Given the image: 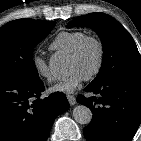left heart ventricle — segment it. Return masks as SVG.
<instances>
[{
    "instance_id": "b2bd125f",
    "label": "left heart ventricle",
    "mask_w": 141,
    "mask_h": 141,
    "mask_svg": "<svg viewBox=\"0 0 141 141\" xmlns=\"http://www.w3.org/2000/svg\"><path fill=\"white\" fill-rule=\"evenodd\" d=\"M98 61V50L95 44H88L80 57L68 59V72L78 71L84 77L90 74L96 67Z\"/></svg>"
}]
</instances>
